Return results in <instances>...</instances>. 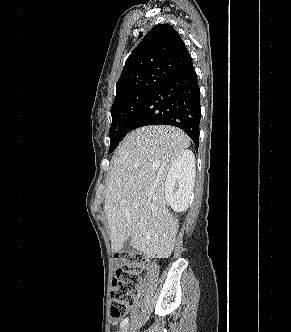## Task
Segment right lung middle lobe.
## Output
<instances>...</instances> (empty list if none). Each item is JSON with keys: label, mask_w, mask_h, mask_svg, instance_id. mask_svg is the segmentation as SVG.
<instances>
[{"label": "right lung middle lobe", "mask_w": 291, "mask_h": 332, "mask_svg": "<svg viewBox=\"0 0 291 332\" xmlns=\"http://www.w3.org/2000/svg\"><path fill=\"white\" fill-rule=\"evenodd\" d=\"M161 81H154L147 89L139 90L114 100L111 107L112 124L109 131L110 148L112 152L124 136L129 132L132 118L143 106Z\"/></svg>", "instance_id": "1"}]
</instances>
